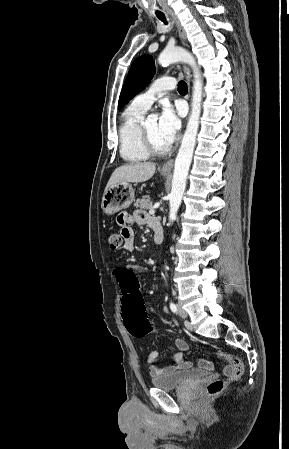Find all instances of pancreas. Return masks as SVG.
Returning a JSON list of instances; mask_svg holds the SVG:
<instances>
[{
	"instance_id": "cf45deb5",
	"label": "pancreas",
	"mask_w": 289,
	"mask_h": 449,
	"mask_svg": "<svg viewBox=\"0 0 289 449\" xmlns=\"http://www.w3.org/2000/svg\"><path fill=\"white\" fill-rule=\"evenodd\" d=\"M135 207L145 209L152 206V201L148 196H143L142 199H138L135 202Z\"/></svg>"
}]
</instances>
